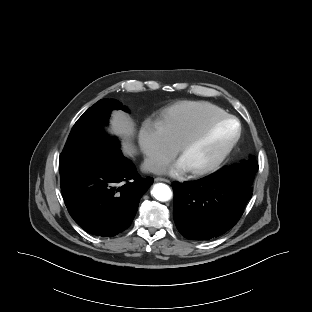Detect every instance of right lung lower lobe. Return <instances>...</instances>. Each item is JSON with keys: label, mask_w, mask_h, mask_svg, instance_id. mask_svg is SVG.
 <instances>
[{"label": "right lung lower lobe", "mask_w": 312, "mask_h": 312, "mask_svg": "<svg viewBox=\"0 0 312 312\" xmlns=\"http://www.w3.org/2000/svg\"><path fill=\"white\" fill-rule=\"evenodd\" d=\"M153 183L141 178L120 149L66 182H61L65 205L85 231L111 237L132 223L140 198Z\"/></svg>", "instance_id": "98d812e1"}]
</instances>
